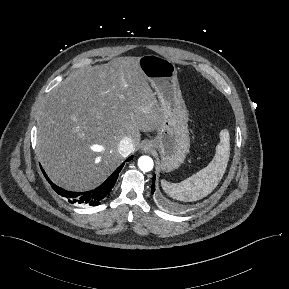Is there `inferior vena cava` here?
<instances>
[{"label":"inferior vena cava","mask_w":289,"mask_h":289,"mask_svg":"<svg viewBox=\"0 0 289 289\" xmlns=\"http://www.w3.org/2000/svg\"><path fill=\"white\" fill-rule=\"evenodd\" d=\"M118 151L121 156L127 157L133 151V143L129 137H124L118 146Z\"/></svg>","instance_id":"1"}]
</instances>
